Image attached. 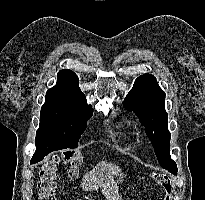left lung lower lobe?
<instances>
[{
    "label": "left lung lower lobe",
    "instance_id": "obj_1",
    "mask_svg": "<svg viewBox=\"0 0 205 200\" xmlns=\"http://www.w3.org/2000/svg\"><path fill=\"white\" fill-rule=\"evenodd\" d=\"M169 172L173 173V174H177V167H175L174 169H167Z\"/></svg>",
    "mask_w": 205,
    "mask_h": 200
}]
</instances>
